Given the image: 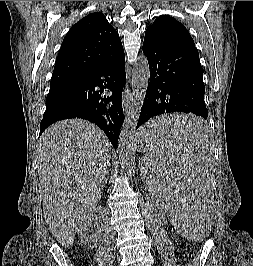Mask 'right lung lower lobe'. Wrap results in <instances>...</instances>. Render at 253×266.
Returning a JSON list of instances; mask_svg holds the SVG:
<instances>
[{
	"instance_id": "obj_1",
	"label": "right lung lower lobe",
	"mask_w": 253,
	"mask_h": 266,
	"mask_svg": "<svg viewBox=\"0 0 253 266\" xmlns=\"http://www.w3.org/2000/svg\"><path fill=\"white\" fill-rule=\"evenodd\" d=\"M126 82L125 55L110 65L68 84L54 104L46 108L40 123V134L52 123L82 118L100 127L117 148L118 136L124 121L122 90ZM106 88L112 96L103 95Z\"/></svg>"
}]
</instances>
